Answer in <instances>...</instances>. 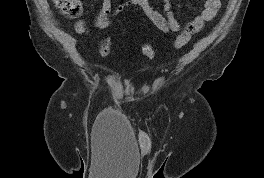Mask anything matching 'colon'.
Listing matches in <instances>:
<instances>
[{
    "label": "colon",
    "instance_id": "colon-1",
    "mask_svg": "<svg viewBox=\"0 0 264 178\" xmlns=\"http://www.w3.org/2000/svg\"><path fill=\"white\" fill-rule=\"evenodd\" d=\"M53 5L58 8L65 16L69 18H77L82 14V4L80 0H51ZM192 34L184 31L175 40V47H184L191 39ZM111 50V42L109 38L103 39L99 44V51L103 57H107ZM142 53L147 58L153 59L156 55L154 48L150 44H144L141 47Z\"/></svg>",
    "mask_w": 264,
    "mask_h": 178
}]
</instances>
